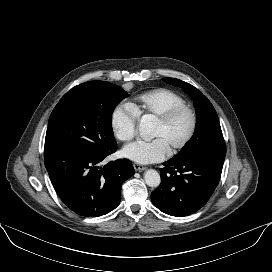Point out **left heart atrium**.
I'll use <instances>...</instances> for the list:
<instances>
[{
    "mask_svg": "<svg viewBox=\"0 0 272 272\" xmlns=\"http://www.w3.org/2000/svg\"><path fill=\"white\" fill-rule=\"evenodd\" d=\"M168 149L161 138L150 141L137 140L123 149V155L140 164L160 162L165 159Z\"/></svg>",
    "mask_w": 272,
    "mask_h": 272,
    "instance_id": "left-heart-atrium-1",
    "label": "left heart atrium"
}]
</instances>
